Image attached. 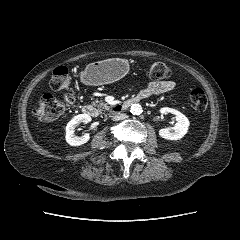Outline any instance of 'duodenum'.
Segmentation results:
<instances>
[{
	"label": "duodenum",
	"instance_id": "1",
	"mask_svg": "<svg viewBox=\"0 0 240 240\" xmlns=\"http://www.w3.org/2000/svg\"><path fill=\"white\" fill-rule=\"evenodd\" d=\"M142 99V97L140 95H137L135 97H132V98H129L125 101H122V102H119L117 104H115L112 108V110L114 112H121L127 108H129L130 106L138 103L140 100ZM82 112L85 114V115H88V116H95L96 115V112L95 110L89 106V105H84L83 108H82Z\"/></svg>",
	"mask_w": 240,
	"mask_h": 240
}]
</instances>
